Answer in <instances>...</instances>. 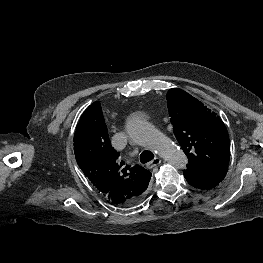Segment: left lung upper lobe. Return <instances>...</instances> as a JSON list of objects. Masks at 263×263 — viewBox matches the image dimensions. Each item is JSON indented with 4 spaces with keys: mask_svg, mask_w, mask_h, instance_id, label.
I'll use <instances>...</instances> for the list:
<instances>
[{
    "mask_svg": "<svg viewBox=\"0 0 263 263\" xmlns=\"http://www.w3.org/2000/svg\"><path fill=\"white\" fill-rule=\"evenodd\" d=\"M167 102L175 137L188 157L187 168H228L229 135L219 116L179 88L168 91Z\"/></svg>",
    "mask_w": 263,
    "mask_h": 263,
    "instance_id": "obj_1",
    "label": "left lung upper lobe"
}]
</instances>
